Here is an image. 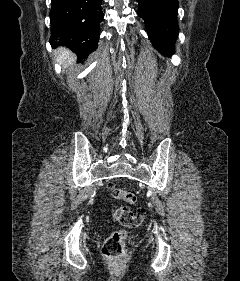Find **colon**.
Returning <instances> with one entry per match:
<instances>
[{
    "instance_id": "5ec220e1",
    "label": "colon",
    "mask_w": 240,
    "mask_h": 281,
    "mask_svg": "<svg viewBox=\"0 0 240 281\" xmlns=\"http://www.w3.org/2000/svg\"><path fill=\"white\" fill-rule=\"evenodd\" d=\"M108 187L116 200L123 201L128 204L114 209L113 217L121 222L125 227H138L144 219L145 210L143 208H138L137 210H132L130 208V205H134L137 202V196L132 192L116 187L112 183H110ZM127 236L128 231L125 228L111 233L103 244V255L108 260H117L122 258L124 255V245Z\"/></svg>"
}]
</instances>
